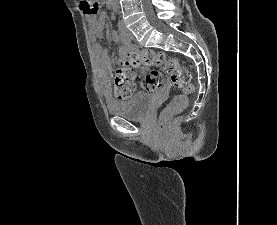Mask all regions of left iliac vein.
Wrapping results in <instances>:
<instances>
[{
  "label": "left iliac vein",
  "mask_w": 277,
  "mask_h": 225,
  "mask_svg": "<svg viewBox=\"0 0 277 225\" xmlns=\"http://www.w3.org/2000/svg\"><path fill=\"white\" fill-rule=\"evenodd\" d=\"M124 30V33L126 34V36L129 38V39H132L133 38V35L131 32H129L127 29H123Z\"/></svg>",
  "instance_id": "obj_1"
}]
</instances>
